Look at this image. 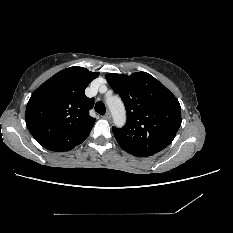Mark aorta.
Wrapping results in <instances>:
<instances>
[{"mask_svg":"<svg viewBox=\"0 0 233 233\" xmlns=\"http://www.w3.org/2000/svg\"><path fill=\"white\" fill-rule=\"evenodd\" d=\"M107 105L112 113L114 124L122 127L126 121V111L122 100L118 96H113L107 100Z\"/></svg>","mask_w":233,"mask_h":233,"instance_id":"obj_1","label":"aorta"}]
</instances>
